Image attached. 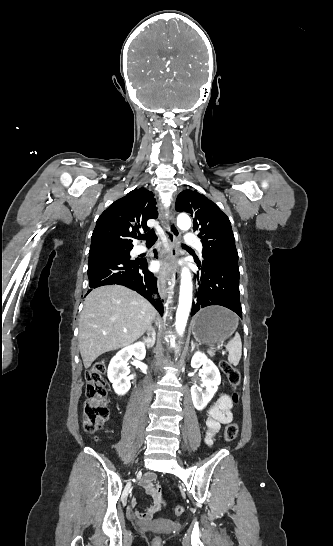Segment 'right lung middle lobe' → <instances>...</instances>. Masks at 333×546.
I'll return each mask as SVG.
<instances>
[{"label":"right lung middle lobe","instance_id":"obj_1","mask_svg":"<svg viewBox=\"0 0 333 546\" xmlns=\"http://www.w3.org/2000/svg\"><path fill=\"white\" fill-rule=\"evenodd\" d=\"M110 249L118 250L126 255H129L133 247H109ZM130 256V255H129Z\"/></svg>","mask_w":333,"mask_h":546}]
</instances>
